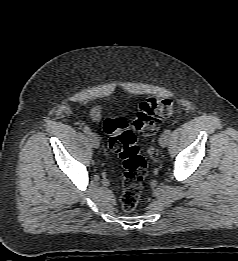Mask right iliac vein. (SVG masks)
<instances>
[{"mask_svg":"<svg viewBox=\"0 0 238 261\" xmlns=\"http://www.w3.org/2000/svg\"><path fill=\"white\" fill-rule=\"evenodd\" d=\"M89 140L92 143L94 148H98L100 145L99 138L95 133L89 134Z\"/></svg>","mask_w":238,"mask_h":261,"instance_id":"1","label":"right iliac vein"}]
</instances>
